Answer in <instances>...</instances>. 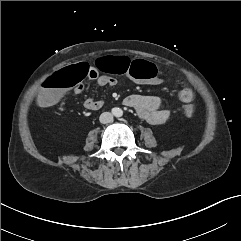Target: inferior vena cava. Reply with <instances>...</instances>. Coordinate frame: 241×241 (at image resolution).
I'll use <instances>...</instances> for the list:
<instances>
[{"label":"inferior vena cava","instance_id":"1","mask_svg":"<svg viewBox=\"0 0 241 241\" xmlns=\"http://www.w3.org/2000/svg\"><path fill=\"white\" fill-rule=\"evenodd\" d=\"M99 120H100V122L103 123V124L110 123V122L113 121V115H112V113H110V112H103V113L100 115Z\"/></svg>","mask_w":241,"mask_h":241}]
</instances>
